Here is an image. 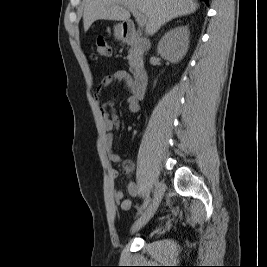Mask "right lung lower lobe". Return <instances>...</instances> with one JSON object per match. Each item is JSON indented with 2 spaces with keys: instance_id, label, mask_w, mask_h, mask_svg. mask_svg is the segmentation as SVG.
I'll list each match as a JSON object with an SVG mask.
<instances>
[{
  "instance_id": "98d812e1",
  "label": "right lung lower lobe",
  "mask_w": 267,
  "mask_h": 267,
  "mask_svg": "<svg viewBox=\"0 0 267 267\" xmlns=\"http://www.w3.org/2000/svg\"><path fill=\"white\" fill-rule=\"evenodd\" d=\"M208 5V0H203Z\"/></svg>"
}]
</instances>
